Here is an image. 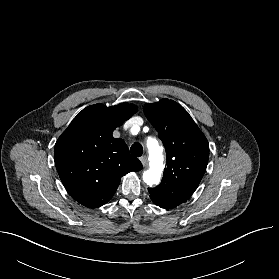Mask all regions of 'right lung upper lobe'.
I'll list each match as a JSON object with an SVG mask.
<instances>
[{"label": "right lung upper lobe", "mask_w": 279, "mask_h": 279, "mask_svg": "<svg viewBox=\"0 0 279 279\" xmlns=\"http://www.w3.org/2000/svg\"><path fill=\"white\" fill-rule=\"evenodd\" d=\"M136 112L134 104H95L83 109L58 138L55 165L65 189L78 203L102 206L113 197L122 176L142 169L125 142L112 135Z\"/></svg>", "instance_id": "cb5924a9"}]
</instances>
